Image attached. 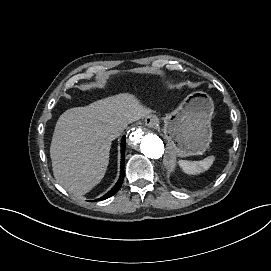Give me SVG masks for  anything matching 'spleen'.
Returning <instances> with one entry per match:
<instances>
[{
    "mask_svg": "<svg viewBox=\"0 0 271 271\" xmlns=\"http://www.w3.org/2000/svg\"><path fill=\"white\" fill-rule=\"evenodd\" d=\"M213 161V158L207 157L201 160H182L181 161V166L183 169H185L187 172L191 173H197L200 172L204 169H207Z\"/></svg>",
    "mask_w": 271,
    "mask_h": 271,
    "instance_id": "obj_1",
    "label": "spleen"
}]
</instances>
